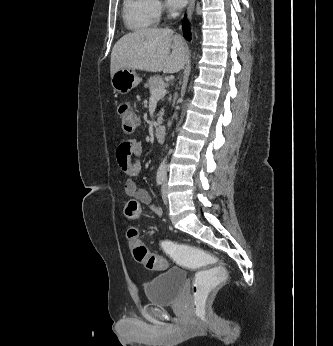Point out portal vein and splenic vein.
Returning <instances> with one entry per match:
<instances>
[{
    "label": "portal vein and splenic vein",
    "instance_id": "obj_1",
    "mask_svg": "<svg viewBox=\"0 0 333 346\" xmlns=\"http://www.w3.org/2000/svg\"><path fill=\"white\" fill-rule=\"evenodd\" d=\"M165 94H166L165 87L158 88L152 92L151 99L158 100V99L164 97Z\"/></svg>",
    "mask_w": 333,
    "mask_h": 346
}]
</instances>
